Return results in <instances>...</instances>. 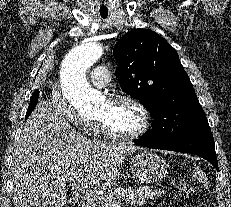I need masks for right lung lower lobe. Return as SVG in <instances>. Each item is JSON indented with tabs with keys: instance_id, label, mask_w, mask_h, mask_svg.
Here are the masks:
<instances>
[{
	"instance_id": "right-lung-lower-lobe-1",
	"label": "right lung lower lobe",
	"mask_w": 231,
	"mask_h": 207,
	"mask_svg": "<svg viewBox=\"0 0 231 207\" xmlns=\"http://www.w3.org/2000/svg\"><path fill=\"white\" fill-rule=\"evenodd\" d=\"M38 97H39V95L37 93L32 95L25 119H27L29 117V115L31 114V112L35 108L37 101H38Z\"/></svg>"
}]
</instances>
